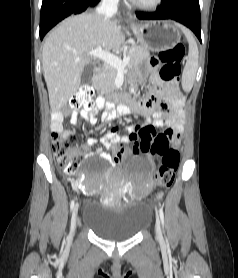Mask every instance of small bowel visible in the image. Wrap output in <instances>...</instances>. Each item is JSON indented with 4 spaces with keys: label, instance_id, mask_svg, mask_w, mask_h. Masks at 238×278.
Instances as JSON below:
<instances>
[{
    "label": "small bowel",
    "instance_id": "1",
    "mask_svg": "<svg viewBox=\"0 0 238 278\" xmlns=\"http://www.w3.org/2000/svg\"><path fill=\"white\" fill-rule=\"evenodd\" d=\"M148 63L150 64L149 72H158V69H161L159 55H148ZM143 79L144 75L141 73L133 74L130 78L132 83L142 81ZM151 80V89L153 90L140 102L132 101L128 104L115 106L113 103L106 101L100 96L96 99L95 109L93 111H88L86 109H82L79 113L73 111L70 114V120L72 123H77L79 114L91 125H96L98 122L96 115L99 110H103L102 118L104 121H112L121 115L135 113L141 116H153L157 118L156 125H162V119H165L169 125L164 131L156 134V132H158V127H154L150 124L143 126H127L128 135L121 136L118 133V128L114 127L107 131L100 139L89 138L86 141L81 148V153L85 158L94 155L103 158L109 157L102 149H98L97 151L91 150L97 142H100L107 149L119 143L133 142L139 144L144 137H153V142L157 144H171V146H177L179 144L183 131V98L176 89L174 91L170 89L168 110L161 102L165 95L166 84H164L162 77L157 74H154ZM63 120V113L54 111L51 114V129L53 132L66 131L63 129ZM153 155L160 156L161 154ZM72 185L75 189L81 190L82 183L79 180L72 181ZM153 185L154 183L152 181H148L149 188L153 187Z\"/></svg>",
    "mask_w": 238,
    "mask_h": 278
}]
</instances>
